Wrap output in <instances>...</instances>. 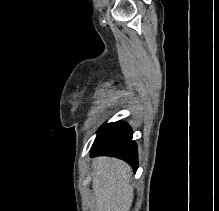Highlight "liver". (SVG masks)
I'll use <instances>...</instances> for the list:
<instances>
[{
    "label": "liver",
    "instance_id": "1",
    "mask_svg": "<svg viewBox=\"0 0 219 211\" xmlns=\"http://www.w3.org/2000/svg\"><path fill=\"white\" fill-rule=\"evenodd\" d=\"M92 169L96 211H129L134 197L131 165L115 157H94Z\"/></svg>",
    "mask_w": 219,
    "mask_h": 211
}]
</instances>
